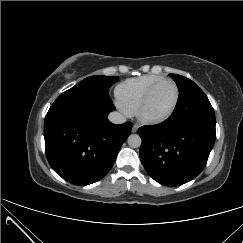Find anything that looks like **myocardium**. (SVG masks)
<instances>
[{
  "instance_id": "myocardium-1",
  "label": "myocardium",
  "mask_w": 243,
  "mask_h": 243,
  "mask_svg": "<svg viewBox=\"0 0 243 243\" xmlns=\"http://www.w3.org/2000/svg\"><path fill=\"white\" fill-rule=\"evenodd\" d=\"M169 82L171 84H173L174 88H175V99L174 102L171 106V108L169 109V111L167 113H165L162 116L159 117H150L148 115L145 114V110L146 107L154 93V91L163 83ZM179 98H180V91H179V87L177 85V83L172 80V79H168V78H164L162 80L157 81L156 83H154L149 90L147 91V93L145 94V96L143 97V99L141 100L139 106L137 107V110L135 112L137 119L145 124V125H159L162 124L166 121H168L172 115L174 114L178 103H179Z\"/></svg>"
}]
</instances>
